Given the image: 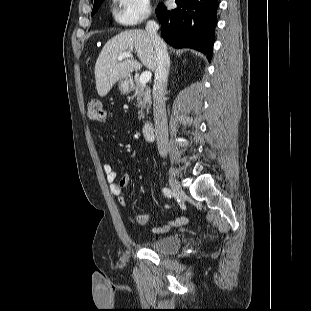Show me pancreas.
Here are the masks:
<instances>
[{
	"mask_svg": "<svg viewBox=\"0 0 311 311\" xmlns=\"http://www.w3.org/2000/svg\"><path fill=\"white\" fill-rule=\"evenodd\" d=\"M135 90L134 96L137 97V107L140 108L139 111V119H144V109H149L152 101H151V90L149 87L141 84L139 81L136 82L133 87Z\"/></svg>",
	"mask_w": 311,
	"mask_h": 311,
	"instance_id": "1",
	"label": "pancreas"
}]
</instances>
